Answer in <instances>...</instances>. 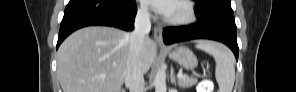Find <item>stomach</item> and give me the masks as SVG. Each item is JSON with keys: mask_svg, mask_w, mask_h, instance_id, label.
<instances>
[{"mask_svg": "<svg viewBox=\"0 0 296 92\" xmlns=\"http://www.w3.org/2000/svg\"><path fill=\"white\" fill-rule=\"evenodd\" d=\"M167 53L171 60L178 63L186 70H193L198 65V60L194 53L185 46L177 47Z\"/></svg>", "mask_w": 296, "mask_h": 92, "instance_id": "stomach-1", "label": "stomach"}]
</instances>
